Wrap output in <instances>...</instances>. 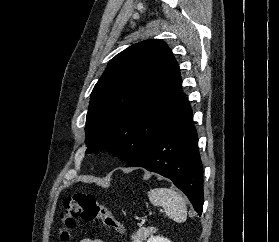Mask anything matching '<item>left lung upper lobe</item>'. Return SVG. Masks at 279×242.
Wrapping results in <instances>:
<instances>
[{
  "mask_svg": "<svg viewBox=\"0 0 279 242\" xmlns=\"http://www.w3.org/2000/svg\"><path fill=\"white\" fill-rule=\"evenodd\" d=\"M179 66L151 39L116 55L95 85L86 119V153L112 152L126 163L143 153L182 113Z\"/></svg>",
  "mask_w": 279,
  "mask_h": 242,
  "instance_id": "left-lung-upper-lobe-1",
  "label": "left lung upper lobe"
}]
</instances>
